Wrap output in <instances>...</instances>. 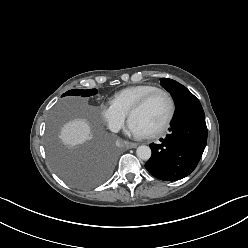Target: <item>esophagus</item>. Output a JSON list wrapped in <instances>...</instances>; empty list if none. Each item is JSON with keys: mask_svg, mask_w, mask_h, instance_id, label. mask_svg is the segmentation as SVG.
<instances>
[{"mask_svg": "<svg viewBox=\"0 0 248 248\" xmlns=\"http://www.w3.org/2000/svg\"><path fill=\"white\" fill-rule=\"evenodd\" d=\"M124 145L127 149L136 148L138 146L137 143H132V142H128V141H125Z\"/></svg>", "mask_w": 248, "mask_h": 248, "instance_id": "obj_1", "label": "esophagus"}]
</instances>
